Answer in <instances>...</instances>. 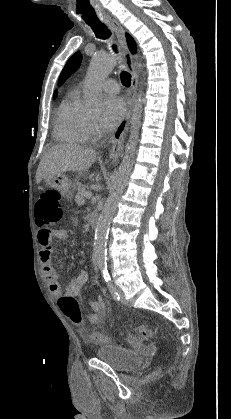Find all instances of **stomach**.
<instances>
[{
	"label": "stomach",
	"instance_id": "stomach-1",
	"mask_svg": "<svg viewBox=\"0 0 231 419\" xmlns=\"http://www.w3.org/2000/svg\"><path fill=\"white\" fill-rule=\"evenodd\" d=\"M45 184L54 188L68 199H71L75 192L74 185L64 173L45 178Z\"/></svg>",
	"mask_w": 231,
	"mask_h": 419
}]
</instances>
